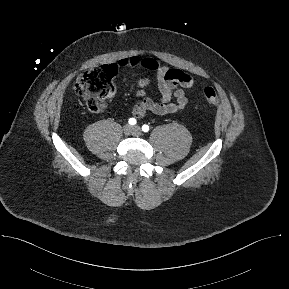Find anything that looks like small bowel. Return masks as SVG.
<instances>
[{
    "label": "small bowel",
    "mask_w": 289,
    "mask_h": 289,
    "mask_svg": "<svg viewBox=\"0 0 289 289\" xmlns=\"http://www.w3.org/2000/svg\"><path fill=\"white\" fill-rule=\"evenodd\" d=\"M120 68L141 67L154 73V80L159 92V100L146 97V89L151 85V78H142L136 83V93L140 101L133 107L132 114L142 118L147 113L167 115L183 111L189 100L185 89L192 88L196 81L189 74L161 65L153 57L133 55L121 58L117 64Z\"/></svg>",
    "instance_id": "small-bowel-1"
}]
</instances>
